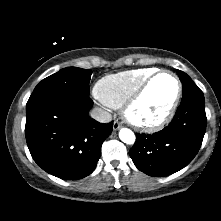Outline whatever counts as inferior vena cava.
Masks as SVG:
<instances>
[{
  "label": "inferior vena cava",
  "mask_w": 221,
  "mask_h": 221,
  "mask_svg": "<svg viewBox=\"0 0 221 221\" xmlns=\"http://www.w3.org/2000/svg\"><path fill=\"white\" fill-rule=\"evenodd\" d=\"M91 117L101 123H109L112 120L111 114L101 108H94L91 111Z\"/></svg>",
  "instance_id": "602c4592"
}]
</instances>
